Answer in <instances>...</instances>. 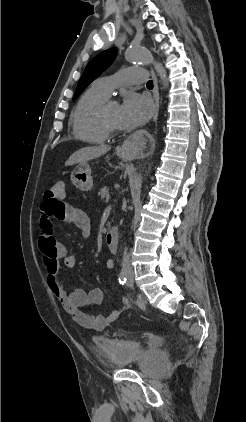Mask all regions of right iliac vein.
Instances as JSON below:
<instances>
[{"mask_svg":"<svg viewBox=\"0 0 246 422\" xmlns=\"http://www.w3.org/2000/svg\"><path fill=\"white\" fill-rule=\"evenodd\" d=\"M128 278H129V280H133V276L131 275V274H128Z\"/></svg>","mask_w":246,"mask_h":422,"instance_id":"1","label":"right iliac vein"}]
</instances>
